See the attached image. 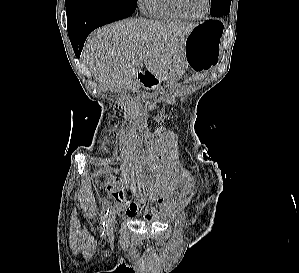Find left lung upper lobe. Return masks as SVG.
<instances>
[{
    "instance_id": "obj_1",
    "label": "left lung upper lobe",
    "mask_w": 299,
    "mask_h": 273,
    "mask_svg": "<svg viewBox=\"0 0 299 273\" xmlns=\"http://www.w3.org/2000/svg\"><path fill=\"white\" fill-rule=\"evenodd\" d=\"M210 14L215 17L227 15L230 11L231 0H211Z\"/></svg>"
}]
</instances>
